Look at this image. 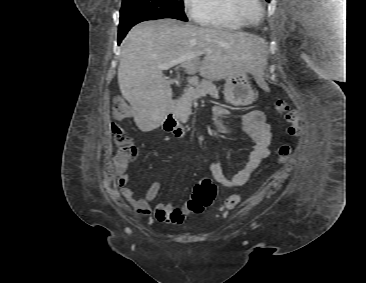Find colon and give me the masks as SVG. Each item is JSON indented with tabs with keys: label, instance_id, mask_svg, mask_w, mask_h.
I'll list each match as a JSON object with an SVG mask.
<instances>
[{
	"label": "colon",
	"instance_id": "5ec220e1",
	"mask_svg": "<svg viewBox=\"0 0 366 283\" xmlns=\"http://www.w3.org/2000/svg\"><path fill=\"white\" fill-rule=\"evenodd\" d=\"M275 111L289 124L287 133L290 136H296L299 132V117L297 111L292 109L284 100H279L276 102ZM129 113V107L123 99H117L114 101L111 114L115 121H120L127 118ZM111 132L113 141L118 147V152L115 155L114 162L120 166H128V164L136 157L137 148L122 126L118 125L117 123H113ZM291 152L292 148L289 144H282L278 148V161L281 164L287 162ZM216 191V185L210 179L202 178L199 180V182L194 187L190 199L187 202V208L189 212L194 214L201 213L214 200ZM240 201V194L230 195L225 200L221 210H231L235 208Z\"/></svg>",
	"mask_w": 366,
	"mask_h": 283
}]
</instances>
